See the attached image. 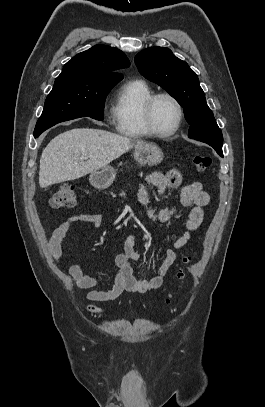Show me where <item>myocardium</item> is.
I'll list each match as a JSON object with an SVG mask.
<instances>
[{
	"instance_id": "1",
	"label": "myocardium",
	"mask_w": 265,
	"mask_h": 407,
	"mask_svg": "<svg viewBox=\"0 0 265 407\" xmlns=\"http://www.w3.org/2000/svg\"><path fill=\"white\" fill-rule=\"evenodd\" d=\"M160 98H168L170 99L177 107L178 110V119L176 124L168 131H160L156 128L154 121H153V109L156 101ZM142 117H143V122L149 131V133L153 136L160 137V138H166L174 135L179 128L181 127V124L184 119V108L182 103L179 101L177 97L172 95L171 93L168 92H159L151 95L149 99L145 102L142 110Z\"/></svg>"
}]
</instances>
